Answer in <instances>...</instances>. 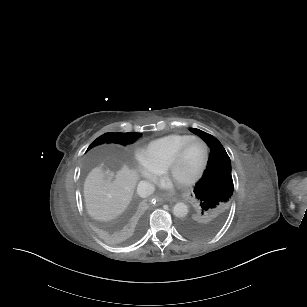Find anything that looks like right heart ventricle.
<instances>
[{
    "label": "right heart ventricle",
    "mask_w": 307,
    "mask_h": 307,
    "mask_svg": "<svg viewBox=\"0 0 307 307\" xmlns=\"http://www.w3.org/2000/svg\"><path fill=\"white\" fill-rule=\"evenodd\" d=\"M191 135L173 133L149 142L138 143L132 154L152 167H162Z\"/></svg>",
    "instance_id": "right-heart-ventricle-1"
}]
</instances>
